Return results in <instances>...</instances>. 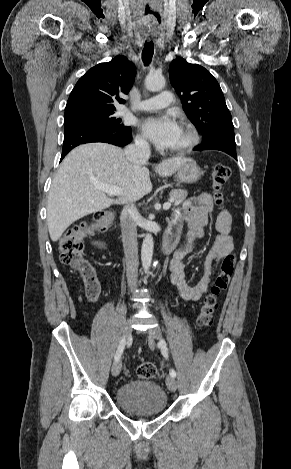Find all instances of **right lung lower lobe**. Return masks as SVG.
<instances>
[{
    "label": "right lung lower lobe",
    "instance_id": "98d812e1",
    "mask_svg": "<svg viewBox=\"0 0 291 469\" xmlns=\"http://www.w3.org/2000/svg\"><path fill=\"white\" fill-rule=\"evenodd\" d=\"M130 127H103L89 124H78L65 128L61 160L74 147L91 142H104L125 146L132 140Z\"/></svg>",
    "mask_w": 291,
    "mask_h": 469
}]
</instances>
